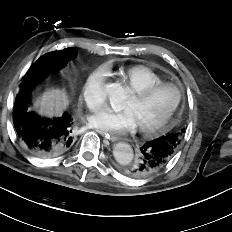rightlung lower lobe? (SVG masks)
Returning a JSON list of instances; mask_svg holds the SVG:
<instances>
[{"label":"right lung lower lobe","instance_id":"right-lung-lower-lobe-1","mask_svg":"<svg viewBox=\"0 0 232 232\" xmlns=\"http://www.w3.org/2000/svg\"><path fill=\"white\" fill-rule=\"evenodd\" d=\"M34 87H21L16 97L13 123L17 137L23 148L37 157L59 156L72 146V118L68 113H64L61 117L50 119L29 111Z\"/></svg>","mask_w":232,"mask_h":232}]
</instances>
